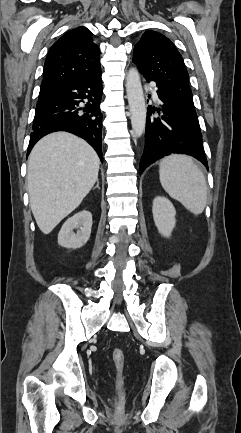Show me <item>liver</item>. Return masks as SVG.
Returning a JSON list of instances; mask_svg holds the SVG:
<instances>
[{
    "label": "liver",
    "instance_id": "obj_1",
    "mask_svg": "<svg viewBox=\"0 0 241 433\" xmlns=\"http://www.w3.org/2000/svg\"><path fill=\"white\" fill-rule=\"evenodd\" d=\"M99 165L94 149L70 133L49 134L34 146L28 158V193L44 234L80 205L98 179Z\"/></svg>",
    "mask_w": 241,
    "mask_h": 433
}]
</instances>
